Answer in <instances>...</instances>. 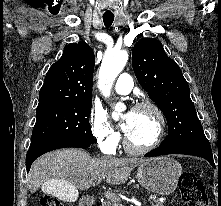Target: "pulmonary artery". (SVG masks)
Wrapping results in <instances>:
<instances>
[{
    "instance_id": "1",
    "label": "pulmonary artery",
    "mask_w": 221,
    "mask_h": 206,
    "mask_svg": "<svg viewBox=\"0 0 221 206\" xmlns=\"http://www.w3.org/2000/svg\"><path fill=\"white\" fill-rule=\"evenodd\" d=\"M133 87V79L127 73H122L119 75L118 80L115 84V92L120 95L128 94Z\"/></svg>"
}]
</instances>
